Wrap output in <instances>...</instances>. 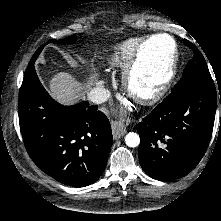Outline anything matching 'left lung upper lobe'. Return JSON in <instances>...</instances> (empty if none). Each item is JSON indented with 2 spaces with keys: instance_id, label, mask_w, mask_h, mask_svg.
I'll list each match as a JSON object with an SVG mask.
<instances>
[{
  "instance_id": "1",
  "label": "left lung upper lobe",
  "mask_w": 221,
  "mask_h": 221,
  "mask_svg": "<svg viewBox=\"0 0 221 221\" xmlns=\"http://www.w3.org/2000/svg\"><path fill=\"white\" fill-rule=\"evenodd\" d=\"M184 44L193 50V58L186 65L183 76L175 87L191 79L213 81L202 53L190 41L184 40Z\"/></svg>"
}]
</instances>
